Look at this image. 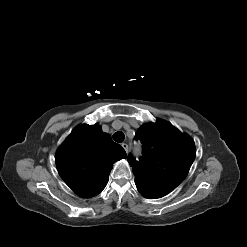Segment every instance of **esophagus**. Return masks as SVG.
Returning a JSON list of instances; mask_svg holds the SVG:
<instances>
[{
    "label": "esophagus",
    "instance_id": "1",
    "mask_svg": "<svg viewBox=\"0 0 247 247\" xmlns=\"http://www.w3.org/2000/svg\"><path fill=\"white\" fill-rule=\"evenodd\" d=\"M122 147L124 148V150L126 151V153H128L129 151V147L126 143H122Z\"/></svg>",
    "mask_w": 247,
    "mask_h": 247
}]
</instances>
